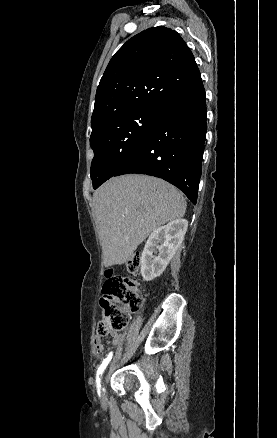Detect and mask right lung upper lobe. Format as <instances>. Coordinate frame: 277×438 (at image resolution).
<instances>
[{
  "label": "right lung upper lobe",
  "instance_id": "1",
  "mask_svg": "<svg viewBox=\"0 0 277 438\" xmlns=\"http://www.w3.org/2000/svg\"><path fill=\"white\" fill-rule=\"evenodd\" d=\"M171 65L164 70L163 65ZM201 80L180 35L153 27L129 39L110 60L97 88L91 126L106 118L157 108Z\"/></svg>",
  "mask_w": 277,
  "mask_h": 438
}]
</instances>
